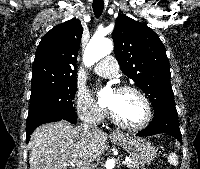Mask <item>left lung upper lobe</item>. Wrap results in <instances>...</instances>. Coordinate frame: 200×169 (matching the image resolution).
Masks as SVG:
<instances>
[{"label": "left lung upper lobe", "mask_w": 200, "mask_h": 169, "mask_svg": "<svg viewBox=\"0 0 200 169\" xmlns=\"http://www.w3.org/2000/svg\"><path fill=\"white\" fill-rule=\"evenodd\" d=\"M113 41L122 72L148 96L154 111L175 107L169 62L158 35L146 24L121 14L116 19Z\"/></svg>", "instance_id": "1"}]
</instances>
